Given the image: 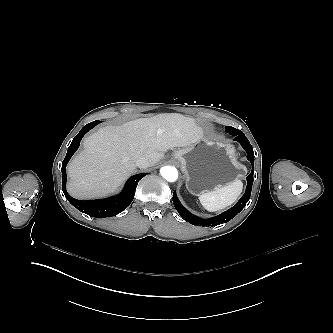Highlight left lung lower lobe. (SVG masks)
I'll list each match as a JSON object with an SVG mask.
<instances>
[{
	"instance_id": "left-lung-lower-lobe-1",
	"label": "left lung lower lobe",
	"mask_w": 333,
	"mask_h": 333,
	"mask_svg": "<svg viewBox=\"0 0 333 333\" xmlns=\"http://www.w3.org/2000/svg\"><path fill=\"white\" fill-rule=\"evenodd\" d=\"M226 132L230 135L235 136L236 141H238L243 149L247 152V159L252 164V171L249 174L247 179V187L244 195L240 198V200L236 203L235 206L230 208L229 210L221 213L218 216L212 217L210 219H201L193 214H191L179 201L177 198L176 192L173 193V203L180 214V216L190 224L193 225H201V226H217L222 223H226L230 221L232 218H234L246 205L248 200L250 199L251 190H252V184H253V173H254V153L253 148L247 139V137L244 135V133L241 130L235 129L231 126H226Z\"/></svg>"
}]
</instances>
